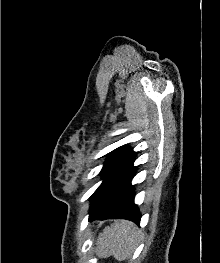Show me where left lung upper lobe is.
Listing matches in <instances>:
<instances>
[{"label": "left lung upper lobe", "mask_w": 220, "mask_h": 263, "mask_svg": "<svg viewBox=\"0 0 220 263\" xmlns=\"http://www.w3.org/2000/svg\"><path fill=\"white\" fill-rule=\"evenodd\" d=\"M135 156L136 153L127 146L119 147L110 153V158L105 162L100 173L104 177V181L91 196V206L97 203L134 168Z\"/></svg>", "instance_id": "5c2ea615"}]
</instances>
